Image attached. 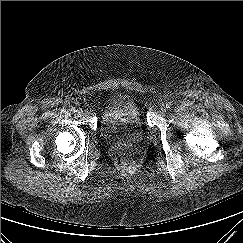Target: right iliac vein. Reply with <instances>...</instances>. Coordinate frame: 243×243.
<instances>
[{"label": "right iliac vein", "instance_id": "right-iliac-vein-1", "mask_svg": "<svg viewBox=\"0 0 243 243\" xmlns=\"http://www.w3.org/2000/svg\"><path fill=\"white\" fill-rule=\"evenodd\" d=\"M76 115H77L78 117L83 116V110H82V109H78V110L76 111Z\"/></svg>", "mask_w": 243, "mask_h": 243}]
</instances>
